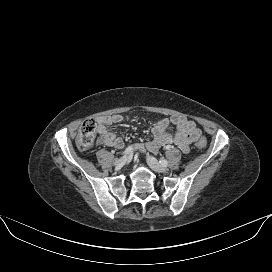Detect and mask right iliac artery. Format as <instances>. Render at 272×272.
<instances>
[{"mask_svg":"<svg viewBox=\"0 0 272 272\" xmlns=\"http://www.w3.org/2000/svg\"><path fill=\"white\" fill-rule=\"evenodd\" d=\"M133 152V147L132 146H128L127 148H126V150L124 151V154H130V153H132Z\"/></svg>","mask_w":272,"mask_h":272,"instance_id":"82829eb1","label":"right iliac artery"}]
</instances>
